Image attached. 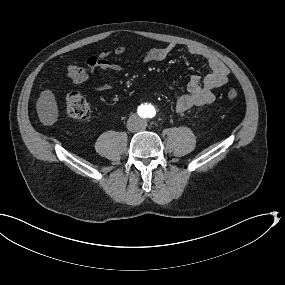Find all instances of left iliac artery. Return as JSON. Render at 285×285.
<instances>
[{
  "label": "left iliac artery",
  "mask_w": 285,
  "mask_h": 285,
  "mask_svg": "<svg viewBox=\"0 0 285 285\" xmlns=\"http://www.w3.org/2000/svg\"><path fill=\"white\" fill-rule=\"evenodd\" d=\"M155 115V111L153 110L152 112H150L149 116L153 117Z\"/></svg>",
  "instance_id": "obj_1"
}]
</instances>
